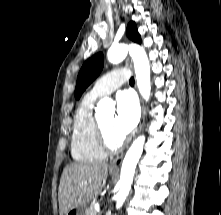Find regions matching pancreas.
Returning a JSON list of instances; mask_svg holds the SVG:
<instances>
[{"label": "pancreas", "mask_w": 221, "mask_h": 215, "mask_svg": "<svg viewBox=\"0 0 221 215\" xmlns=\"http://www.w3.org/2000/svg\"><path fill=\"white\" fill-rule=\"evenodd\" d=\"M86 215H97V210L94 204H91L89 208H87Z\"/></svg>", "instance_id": "pancreas-1"}]
</instances>
